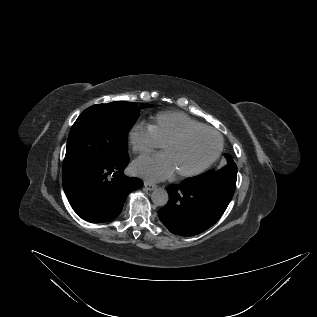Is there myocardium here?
Instances as JSON below:
<instances>
[{
    "instance_id": "1",
    "label": "myocardium",
    "mask_w": 317,
    "mask_h": 317,
    "mask_svg": "<svg viewBox=\"0 0 317 317\" xmlns=\"http://www.w3.org/2000/svg\"><path fill=\"white\" fill-rule=\"evenodd\" d=\"M200 132H210V133H213L214 135H216L218 137V140H219L218 147H217L215 153L199 167L192 169V170H189V171L177 172L176 175L180 178H186V177H192V176L199 175V174L203 173L205 170H207L208 168H210L216 162V160L221 155L223 147H224V140H223L222 135L217 130H215L211 127H207V126L199 127V128H189V129H186V130L180 132L176 136L170 138L162 145L163 150H165L169 146H173V145L181 143L186 138H188L190 135L195 134V133H200Z\"/></svg>"
}]
</instances>
